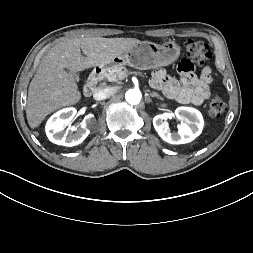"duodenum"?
<instances>
[{
    "mask_svg": "<svg viewBox=\"0 0 253 253\" xmlns=\"http://www.w3.org/2000/svg\"><path fill=\"white\" fill-rule=\"evenodd\" d=\"M104 70L105 69L103 67H97L93 70L83 89V94L85 97H90L92 95L97 87L99 80L104 74Z\"/></svg>",
    "mask_w": 253,
    "mask_h": 253,
    "instance_id": "410a0bca",
    "label": "duodenum"
}]
</instances>
